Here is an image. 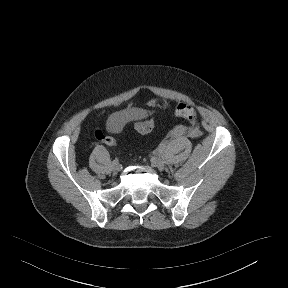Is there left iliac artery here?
Returning a JSON list of instances; mask_svg holds the SVG:
<instances>
[{
  "instance_id": "left-iliac-artery-1",
  "label": "left iliac artery",
  "mask_w": 288,
  "mask_h": 288,
  "mask_svg": "<svg viewBox=\"0 0 288 288\" xmlns=\"http://www.w3.org/2000/svg\"><path fill=\"white\" fill-rule=\"evenodd\" d=\"M156 155L160 157V156H161V153H160V152H158V153H156Z\"/></svg>"
}]
</instances>
